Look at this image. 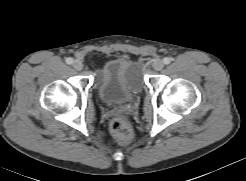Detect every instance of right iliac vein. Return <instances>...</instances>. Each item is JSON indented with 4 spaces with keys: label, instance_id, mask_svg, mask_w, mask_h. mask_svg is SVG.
Segmentation results:
<instances>
[{
    "label": "right iliac vein",
    "instance_id": "1",
    "mask_svg": "<svg viewBox=\"0 0 246 181\" xmlns=\"http://www.w3.org/2000/svg\"><path fill=\"white\" fill-rule=\"evenodd\" d=\"M72 66H73V68H74L75 70H78V71H80V70L83 69V64H82V62H81L80 60H75V61L73 62V64H72Z\"/></svg>",
    "mask_w": 246,
    "mask_h": 181
}]
</instances>
